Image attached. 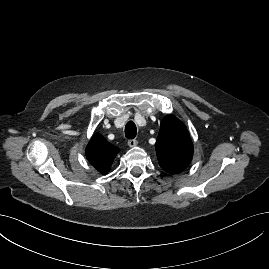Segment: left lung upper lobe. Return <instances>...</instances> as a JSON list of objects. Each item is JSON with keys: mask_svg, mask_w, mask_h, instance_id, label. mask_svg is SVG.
<instances>
[{"mask_svg": "<svg viewBox=\"0 0 269 269\" xmlns=\"http://www.w3.org/2000/svg\"><path fill=\"white\" fill-rule=\"evenodd\" d=\"M155 149L159 165L171 174L186 169L193 156V145L188 130L173 115L162 120Z\"/></svg>", "mask_w": 269, "mask_h": 269, "instance_id": "1", "label": "left lung upper lobe"}]
</instances>
